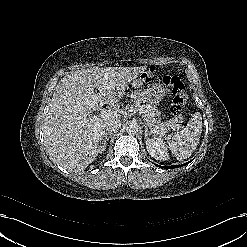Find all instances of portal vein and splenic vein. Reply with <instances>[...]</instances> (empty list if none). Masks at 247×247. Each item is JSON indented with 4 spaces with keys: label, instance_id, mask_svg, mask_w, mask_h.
Instances as JSON below:
<instances>
[{
    "label": "portal vein and splenic vein",
    "instance_id": "18ae733b",
    "mask_svg": "<svg viewBox=\"0 0 247 247\" xmlns=\"http://www.w3.org/2000/svg\"><path fill=\"white\" fill-rule=\"evenodd\" d=\"M117 113H118V111L116 109H114V108L102 109L100 111V113H99V116H101V117H108V116H111L113 114L116 115ZM142 117H144V115H142ZM144 119H145V117H144ZM179 128H181V126L179 124H176V125H174V126L171 127V129L173 131L176 130V129H179ZM168 130H170V128H168V129H161V132L165 134Z\"/></svg>",
    "mask_w": 247,
    "mask_h": 247
}]
</instances>
